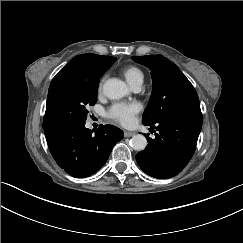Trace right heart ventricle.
I'll return each mask as SVG.
<instances>
[{"instance_id":"1","label":"right heart ventricle","mask_w":243,"mask_h":243,"mask_svg":"<svg viewBox=\"0 0 243 243\" xmlns=\"http://www.w3.org/2000/svg\"><path fill=\"white\" fill-rule=\"evenodd\" d=\"M121 74L131 87L141 86L145 77L144 71L136 65L125 67Z\"/></svg>"}]
</instances>
